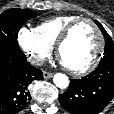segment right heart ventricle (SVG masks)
Wrapping results in <instances>:
<instances>
[{"instance_id": "right-heart-ventricle-1", "label": "right heart ventricle", "mask_w": 114, "mask_h": 114, "mask_svg": "<svg viewBox=\"0 0 114 114\" xmlns=\"http://www.w3.org/2000/svg\"><path fill=\"white\" fill-rule=\"evenodd\" d=\"M77 18L79 16L76 15L56 16L42 21L34 30L42 40L53 47L66 26Z\"/></svg>"}]
</instances>
